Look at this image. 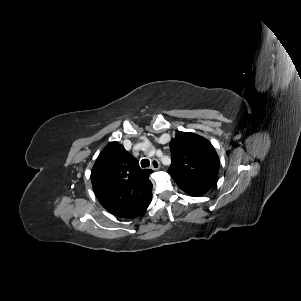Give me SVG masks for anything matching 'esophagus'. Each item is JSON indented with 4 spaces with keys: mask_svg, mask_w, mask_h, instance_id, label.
<instances>
[{
    "mask_svg": "<svg viewBox=\"0 0 301 301\" xmlns=\"http://www.w3.org/2000/svg\"><path fill=\"white\" fill-rule=\"evenodd\" d=\"M151 168L153 170H158L160 168V162L157 159H152Z\"/></svg>",
    "mask_w": 301,
    "mask_h": 301,
    "instance_id": "1",
    "label": "esophagus"
}]
</instances>
